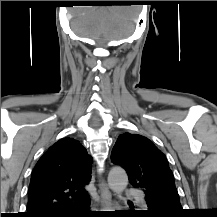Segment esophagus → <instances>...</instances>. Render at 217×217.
I'll list each match as a JSON object with an SVG mask.
<instances>
[{
    "label": "esophagus",
    "instance_id": "obj_1",
    "mask_svg": "<svg viewBox=\"0 0 217 217\" xmlns=\"http://www.w3.org/2000/svg\"><path fill=\"white\" fill-rule=\"evenodd\" d=\"M98 178H99V192L101 197V205L104 209L111 210L114 208L111 192L100 174H98Z\"/></svg>",
    "mask_w": 217,
    "mask_h": 217
}]
</instances>
